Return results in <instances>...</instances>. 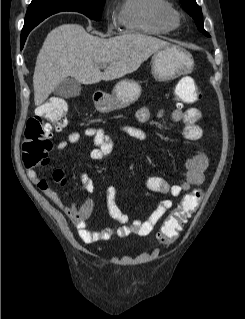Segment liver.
Returning <instances> with one entry per match:
<instances>
[{
  "mask_svg": "<svg viewBox=\"0 0 245 319\" xmlns=\"http://www.w3.org/2000/svg\"><path fill=\"white\" fill-rule=\"evenodd\" d=\"M169 43L142 33L102 39L79 24L53 29L40 49L33 75L34 102L41 105L56 86L72 77L89 85L111 81L136 71L153 53ZM102 64L107 65L104 72Z\"/></svg>",
  "mask_w": 245,
  "mask_h": 319,
  "instance_id": "obj_1",
  "label": "liver"
}]
</instances>
